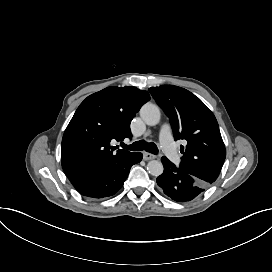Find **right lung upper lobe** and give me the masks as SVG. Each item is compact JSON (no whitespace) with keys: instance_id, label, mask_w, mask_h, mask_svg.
<instances>
[{"instance_id":"1","label":"right lung upper lobe","mask_w":272,"mask_h":272,"mask_svg":"<svg viewBox=\"0 0 272 272\" xmlns=\"http://www.w3.org/2000/svg\"><path fill=\"white\" fill-rule=\"evenodd\" d=\"M150 100L136 87H108L88 96L78 107L62 139L63 170L72 179L114 163L132 152L118 150L110 142L131 138L130 122Z\"/></svg>"}]
</instances>
